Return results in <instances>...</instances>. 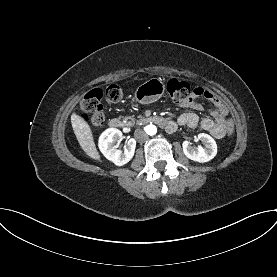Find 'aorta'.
Masks as SVG:
<instances>
[{
	"label": "aorta",
	"instance_id": "762f6f07",
	"mask_svg": "<svg viewBox=\"0 0 277 277\" xmlns=\"http://www.w3.org/2000/svg\"><path fill=\"white\" fill-rule=\"evenodd\" d=\"M145 131L148 135L152 136V135H155L157 133V128H156L155 125L150 124V125H147L145 127Z\"/></svg>",
	"mask_w": 277,
	"mask_h": 277
}]
</instances>
